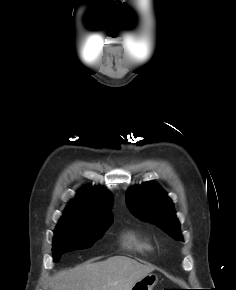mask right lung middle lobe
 I'll use <instances>...</instances> for the list:
<instances>
[{"instance_id":"right-lung-middle-lobe-1","label":"right lung middle lobe","mask_w":236,"mask_h":290,"mask_svg":"<svg viewBox=\"0 0 236 290\" xmlns=\"http://www.w3.org/2000/svg\"><path fill=\"white\" fill-rule=\"evenodd\" d=\"M113 217L89 220L61 219L56 227L53 239L54 261L68 251L88 248L103 235L112 223Z\"/></svg>"}]
</instances>
